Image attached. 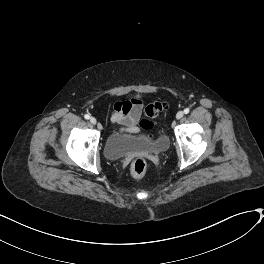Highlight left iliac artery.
<instances>
[{"label":"left iliac artery","instance_id":"44dca946","mask_svg":"<svg viewBox=\"0 0 264 264\" xmlns=\"http://www.w3.org/2000/svg\"><path fill=\"white\" fill-rule=\"evenodd\" d=\"M189 111H190V110H189L188 108L184 109V113H185V114H188Z\"/></svg>","mask_w":264,"mask_h":264}]
</instances>
